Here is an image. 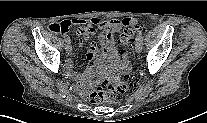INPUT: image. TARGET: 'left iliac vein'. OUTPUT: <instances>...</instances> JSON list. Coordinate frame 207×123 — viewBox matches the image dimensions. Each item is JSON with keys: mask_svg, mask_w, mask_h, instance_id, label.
<instances>
[{"mask_svg": "<svg viewBox=\"0 0 207 123\" xmlns=\"http://www.w3.org/2000/svg\"><path fill=\"white\" fill-rule=\"evenodd\" d=\"M135 49L138 53L142 51V40L136 39Z\"/></svg>", "mask_w": 207, "mask_h": 123, "instance_id": "left-iliac-vein-1", "label": "left iliac vein"}]
</instances>
